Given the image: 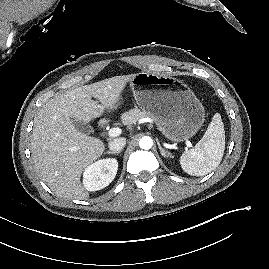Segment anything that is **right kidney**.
<instances>
[{"mask_svg": "<svg viewBox=\"0 0 269 269\" xmlns=\"http://www.w3.org/2000/svg\"><path fill=\"white\" fill-rule=\"evenodd\" d=\"M118 162L114 158L98 160L87 166L83 173V184L88 191H97L108 186L115 178Z\"/></svg>", "mask_w": 269, "mask_h": 269, "instance_id": "1", "label": "right kidney"}]
</instances>
